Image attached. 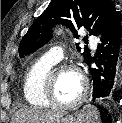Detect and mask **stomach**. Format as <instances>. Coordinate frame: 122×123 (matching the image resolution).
<instances>
[{"mask_svg": "<svg viewBox=\"0 0 122 123\" xmlns=\"http://www.w3.org/2000/svg\"><path fill=\"white\" fill-rule=\"evenodd\" d=\"M54 123H87V118L83 111L75 112L73 114L64 112L63 116H61Z\"/></svg>", "mask_w": 122, "mask_h": 123, "instance_id": "obj_1", "label": "stomach"}]
</instances>
